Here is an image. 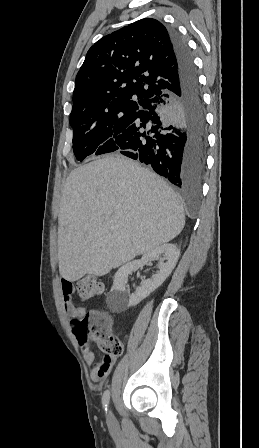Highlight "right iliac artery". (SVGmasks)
Instances as JSON below:
<instances>
[{
	"label": "right iliac artery",
	"instance_id": "82829eb1",
	"mask_svg": "<svg viewBox=\"0 0 259 448\" xmlns=\"http://www.w3.org/2000/svg\"><path fill=\"white\" fill-rule=\"evenodd\" d=\"M109 400H110V391L106 390L102 397V403H103V407L105 408V410H107Z\"/></svg>",
	"mask_w": 259,
	"mask_h": 448
}]
</instances>
